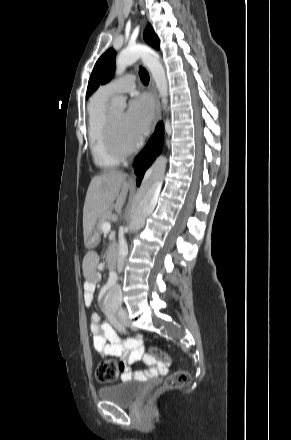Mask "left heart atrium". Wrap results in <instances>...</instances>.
<instances>
[{"label": "left heart atrium", "instance_id": "1", "mask_svg": "<svg viewBox=\"0 0 291 440\" xmlns=\"http://www.w3.org/2000/svg\"><path fill=\"white\" fill-rule=\"evenodd\" d=\"M152 121V104L148 97L139 96L134 98L127 112L124 114V124L128 137L138 141L145 135Z\"/></svg>", "mask_w": 291, "mask_h": 440}]
</instances>
